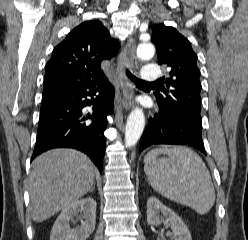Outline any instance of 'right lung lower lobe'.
<instances>
[{"mask_svg": "<svg viewBox=\"0 0 248 240\" xmlns=\"http://www.w3.org/2000/svg\"><path fill=\"white\" fill-rule=\"evenodd\" d=\"M115 90L104 79L43 96L31 160L46 150L70 147L87 154L99 171L106 149L104 131L113 112ZM91 107L89 111L85 108Z\"/></svg>", "mask_w": 248, "mask_h": 240, "instance_id": "right-lung-lower-lobe-1", "label": "right lung lower lobe"}]
</instances>
